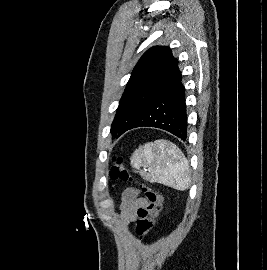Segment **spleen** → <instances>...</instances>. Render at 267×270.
I'll return each mask as SVG.
<instances>
[{
    "label": "spleen",
    "instance_id": "spleen-1",
    "mask_svg": "<svg viewBox=\"0 0 267 270\" xmlns=\"http://www.w3.org/2000/svg\"><path fill=\"white\" fill-rule=\"evenodd\" d=\"M130 161L132 167L152 183L164 184L181 191L189 188V163L182 151L168 140L160 139L140 146L134 151Z\"/></svg>",
    "mask_w": 267,
    "mask_h": 270
}]
</instances>
